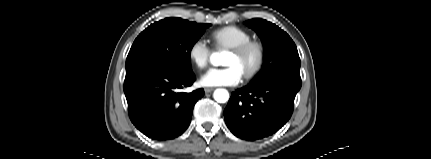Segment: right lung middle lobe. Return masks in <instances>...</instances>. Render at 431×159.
Returning <instances> with one entry per match:
<instances>
[{
    "label": "right lung middle lobe",
    "instance_id": "obj_1",
    "mask_svg": "<svg viewBox=\"0 0 431 159\" xmlns=\"http://www.w3.org/2000/svg\"><path fill=\"white\" fill-rule=\"evenodd\" d=\"M209 26L181 18L151 24L135 39L126 59V72L150 63L192 72L191 49Z\"/></svg>",
    "mask_w": 431,
    "mask_h": 159
}]
</instances>
